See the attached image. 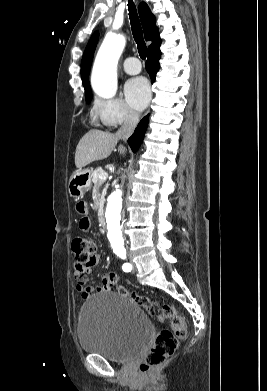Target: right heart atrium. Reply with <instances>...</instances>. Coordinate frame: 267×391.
I'll list each match as a JSON object with an SVG mask.
<instances>
[{
    "label": "right heart atrium",
    "instance_id": "obj_1",
    "mask_svg": "<svg viewBox=\"0 0 267 391\" xmlns=\"http://www.w3.org/2000/svg\"><path fill=\"white\" fill-rule=\"evenodd\" d=\"M93 115L108 128L130 125L138 119L137 113L121 98L96 99L93 105Z\"/></svg>",
    "mask_w": 267,
    "mask_h": 391
}]
</instances>
